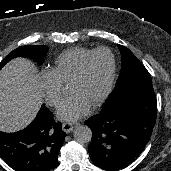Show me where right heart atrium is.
I'll return each mask as SVG.
<instances>
[{
    "instance_id": "d8ad5b80",
    "label": "right heart atrium",
    "mask_w": 171,
    "mask_h": 171,
    "mask_svg": "<svg viewBox=\"0 0 171 171\" xmlns=\"http://www.w3.org/2000/svg\"><path fill=\"white\" fill-rule=\"evenodd\" d=\"M40 86L47 104L58 106L63 92V84L58 78L51 71H44L40 76Z\"/></svg>"
}]
</instances>
